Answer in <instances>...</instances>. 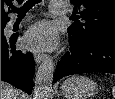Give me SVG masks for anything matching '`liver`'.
<instances>
[{
  "label": "liver",
  "mask_w": 115,
  "mask_h": 99,
  "mask_svg": "<svg viewBox=\"0 0 115 99\" xmlns=\"http://www.w3.org/2000/svg\"><path fill=\"white\" fill-rule=\"evenodd\" d=\"M1 99H19V92L11 85L1 81Z\"/></svg>",
  "instance_id": "obj_1"
}]
</instances>
